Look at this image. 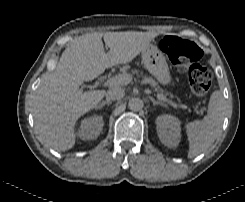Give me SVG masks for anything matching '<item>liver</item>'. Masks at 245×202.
Masks as SVG:
<instances>
[{
    "instance_id": "6515ba94",
    "label": "liver",
    "mask_w": 245,
    "mask_h": 202,
    "mask_svg": "<svg viewBox=\"0 0 245 202\" xmlns=\"http://www.w3.org/2000/svg\"><path fill=\"white\" fill-rule=\"evenodd\" d=\"M156 36L135 31L95 32L75 39L37 89L33 117L40 139L58 151L71 149L76 142L77 120L96 108L105 95L103 90L83 92L82 83L114 65L131 62Z\"/></svg>"
}]
</instances>
